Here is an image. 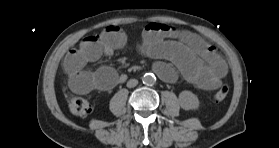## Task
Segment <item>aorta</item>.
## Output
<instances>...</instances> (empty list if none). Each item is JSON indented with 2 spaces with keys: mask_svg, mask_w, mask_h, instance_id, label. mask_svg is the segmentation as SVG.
Instances as JSON below:
<instances>
[{
  "mask_svg": "<svg viewBox=\"0 0 279 148\" xmlns=\"http://www.w3.org/2000/svg\"><path fill=\"white\" fill-rule=\"evenodd\" d=\"M142 81L145 85L151 86L155 83L156 81V77L154 76V74L152 73H146L143 77H142Z\"/></svg>",
  "mask_w": 279,
  "mask_h": 148,
  "instance_id": "obj_1",
  "label": "aorta"
}]
</instances>
